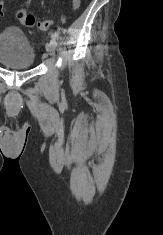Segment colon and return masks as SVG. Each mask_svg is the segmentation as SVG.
I'll return each instance as SVG.
<instances>
[{
    "mask_svg": "<svg viewBox=\"0 0 163 235\" xmlns=\"http://www.w3.org/2000/svg\"><path fill=\"white\" fill-rule=\"evenodd\" d=\"M73 10H78L81 5V0H71ZM4 14V7L0 3V17ZM18 20L27 27H36L41 30H48L52 25L51 20H38L34 15L27 12L25 9L17 11Z\"/></svg>",
    "mask_w": 163,
    "mask_h": 235,
    "instance_id": "obj_1",
    "label": "colon"
}]
</instances>
